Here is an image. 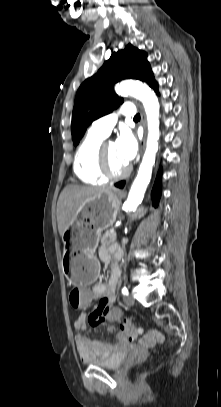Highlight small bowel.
<instances>
[{
    "mask_svg": "<svg viewBox=\"0 0 221 407\" xmlns=\"http://www.w3.org/2000/svg\"><path fill=\"white\" fill-rule=\"evenodd\" d=\"M112 252V249L106 247L100 248V260L104 263H111ZM119 276L120 271L117 264L112 263L111 274L108 281L92 285V298L90 303L95 299H100L99 304L88 318H86L85 314H81L74 322V328L77 331V334L74 336V342L80 358L85 362L108 357L116 351L115 346L112 344L99 343L83 335L81 332L86 329V319H88V322L93 326L101 325L105 321L113 323L106 317L105 312L109 305H114ZM109 331L114 332L115 328L110 326ZM119 336L121 338L124 336L122 331L119 333Z\"/></svg>",
    "mask_w": 221,
    "mask_h": 407,
    "instance_id": "obj_1",
    "label": "small bowel"
}]
</instances>
